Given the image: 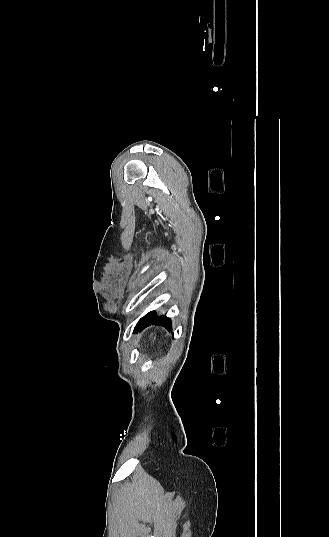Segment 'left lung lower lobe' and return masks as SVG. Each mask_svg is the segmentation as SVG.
<instances>
[{
	"label": "left lung lower lobe",
	"mask_w": 329,
	"mask_h": 537,
	"mask_svg": "<svg viewBox=\"0 0 329 537\" xmlns=\"http://www.w3.org/2000/svg\"><path fill=\"white\" fill-rule=\"evenodd\" d=\"M154 324L164 326L168 328L169 330H171L172 328L170 318H168L165 315L157 316L155 311H150L145 316L140 318V320L138 321V323L136 324L134 328V331L139 330L142 327H146L148 325H154Z\"/></svg>",
	"instance_id": "0a47b994"
}]
</instances>
